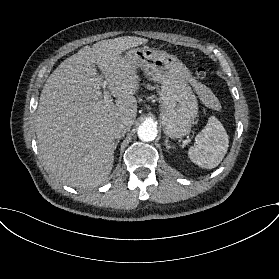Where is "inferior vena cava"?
<instances>
[{"label": "inferior vena cava", "mask_w": 279, "mask_h": 279, "mask_svg": "<svg viewBox=\"0 0 279 279\" xmlns=\"http://www.w3.org/2000/svg\"><path fill=\"white\" fill-rule=\"evenodd\" d=\"M129 130L124 124H117L112 128L111 133L114 139H119L123 137L126 132Z\"/></svg>", "instance_id": "inferior-vena-cava-1"}]
</instances>
